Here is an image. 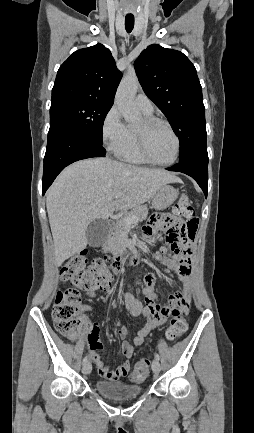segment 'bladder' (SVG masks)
Instances as JSON below:
<instances>
[{"mask_svg": "<svg viewBox=\"0 0 254 433\" xmlns=\"http://www.w3.org/2000/svg\"><path fill=\"white\" fill-rule=\"evenodd\" d=\"M96 390L103 396L111 399H129L141 395V386L132 385L123 381L97 380Z\"/></svg>", "mask_w": 254, "mask_h": 433, "instance_id": "1", "label": "bladder"}]
</instances>
